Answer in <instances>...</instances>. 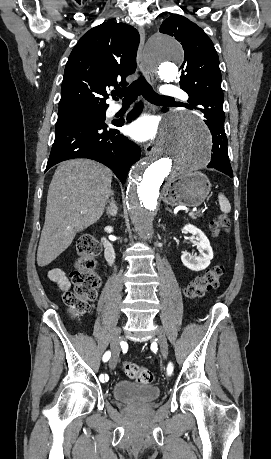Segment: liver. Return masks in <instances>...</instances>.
<instances>
[{"mask_svg": "<svg viewBox=\"0 0 271 459\" xmlns=\"http://www.w3.org/2000/svg\"><path fill=\"white\" fill-rule=\"evenodd\" d=\"M112 172L94 160L59 164L49 186L38 265H48L72 243L77 231L101 218L112 194Z\"/></svg>", "mask_w": 271, "mask_h": 459, "instance_id": "6515ba94", "label": "liver"}]
</instances>
